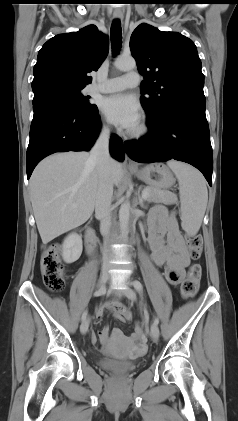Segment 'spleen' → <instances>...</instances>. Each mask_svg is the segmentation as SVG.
Here are the masks:
<instances>
[{
    "instance_id": "1",
    "label": "spleen",
    "mask_w": 238,
    "mask_h": 421,
    "mask_svg": "<svg viewBox=\"0 0 238 421\" xmlns=\"http://www.w3.org/2000/svg\"><path fill=\"white\" fill-rule=\"evenodd\" d=\"M168 167L179 183L181 226L190 236L200 229L208 202V191L204 177L192 166L170 160Z\"/></svg>"
}]
</instances>
